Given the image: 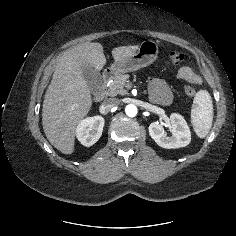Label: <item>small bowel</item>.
<instances>
[{
	"label": "small bowel",
	"instance_id": "1",
	"mask_svg": "<svg viewBox=\"0 0 236 236\" xmlns=\"http://www.w3.org/2000/svg\"><path fill=\"white\" fill-rule=\"evenodd\" d=\"M178 77L195 84L200 82V77L188 66L179 69ZM148 89L150 98L153 102L161 105H168L171 103L173 98L172 92L169 85L164 80L150 78L148 80Z\"/></svg>",
	"mask_w": 236,
	"mask_h": 236
}]
</instances>
